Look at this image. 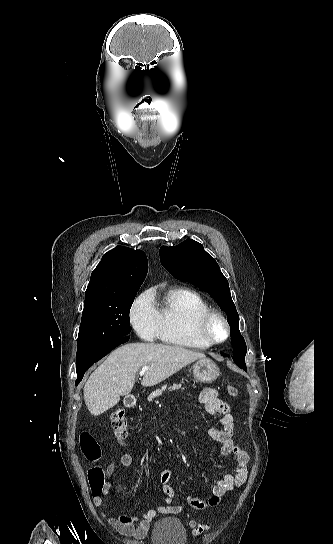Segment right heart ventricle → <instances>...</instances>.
Returning <instances> with one entry per match:
<instances>
[{"mask_svg":"<svg viewBox=\"0 0 333 544\" xmlns=\"http://www.w3.org/2000/svg\"><path fill=\"white\" fill-rule=\"evenodd\" d=\"M210 309V304L197 291L186 287L171 288L165 293L158 309L159 337L163 342L176 346L208 348L210 345L198 334V322Z\"/></svg>","mask_w":333,"mask_h":544,"instance_id":"1","label":"right heart ventricle"}]
</instances>
